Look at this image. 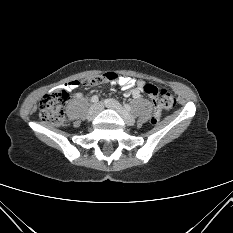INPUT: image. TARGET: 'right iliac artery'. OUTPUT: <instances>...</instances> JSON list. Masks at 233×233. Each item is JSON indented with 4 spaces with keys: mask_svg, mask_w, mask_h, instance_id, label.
<instances>
[{
    "mask_svg": "<svg viewBox=\"0 0 233 233\" xmlns=\"http://www.w3.org/2000/svg\"><path fill=\"white\" fill-rule=\"evenodd\" d=\"M99 101V97L97 95H94L92 98H91V102L92 103H97Z\"/></svg>",
    "mask_w": 233,
    "mask_h": 233,
    "instance_id": "82829eb1",
    "label": "right iliac artery"
}]
</instances>
